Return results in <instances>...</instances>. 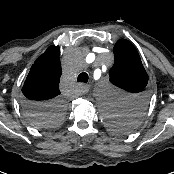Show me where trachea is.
<instances>
[{
	"label": "trachea",
	"instance_id": "trachea-1",
	"mask_svg": "<svg viewBox=\"0 0 174 174\" xmlns=\"http://www.w3.org/2000/svg\"><path fill=\"white\" fill-rule=\"evenodd\" d=\"M77 82L87 83L88 82V74L85 72L80 73L78 78H77Z\"/></svg>",
	"mask_w": 174,
	"mask_h": 174
}]
</instances>
